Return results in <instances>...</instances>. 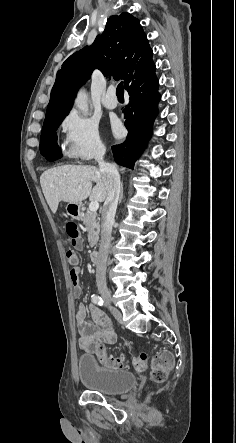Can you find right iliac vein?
<instances>
[{
    "label": "right iliac vein",
    "instance_id": "obj_1",
    "mask_svg": "<svg viewBox=\"0 0 236 443\" xmlns=\"http://www.w3.org/2000/svg\"><path fill=\"white\" fill-rule=\"evenodd\" d=\"M106 307H107V309H109V310L111 311V313H112L117 319H121V318H122V314H121V312H120L117 308H115V307H113V306H111V305H106Z\"/></svg>",
    "mask_w": 236,
    "mask_h": 443
}]
</instances>
